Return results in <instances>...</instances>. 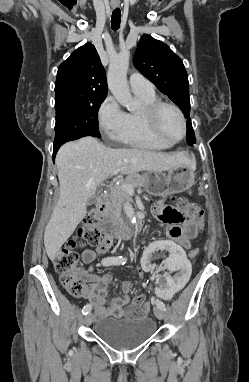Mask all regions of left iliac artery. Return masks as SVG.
Segmentation results:
<instances>
[{
    "label": "left iliac artery",
    "mask_w": 249,
    "mask_h": 382,
    "mask_svg": "<svg viewBox=\"0 0 249 382\" xmlns=\"http://www.w3.org/2000/svg\"><path fill=\"white\" fill-rule=\"evenodd\" d=\"M156 305L160 308V309H162V310H166V307H165V304L163 303V302H161L160 300H156Z\"/></svg>",
    "instance_id": "obj_1"
}]
</instances>
